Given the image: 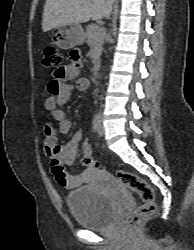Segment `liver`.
I'll list each match as a JSON object with an SVG mask.
<instances>
[{
    "mask_svg": "<svg viewBox=\"0 0 194 250\" xmlns=\"http://www.w3.org/2000/svg\"><path fill=\"white\" fill-rule=\"evenodd\" d=\"M113 0H46L42 30L108 18Z\"/></svg>",
    "mask_w": 194,
    "mask_h": 250,
    "instance_id": "liver-1",
    "label": "liver"
}]
</instances>
